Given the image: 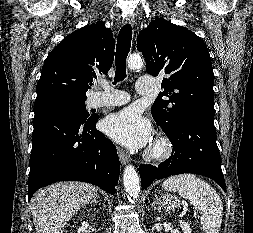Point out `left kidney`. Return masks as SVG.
<instances>
[{
  "label": "left kidney",
  "mask_w": 253,
  "mask_h": 233,
  "mask_svg": "<svg viewBox=\"0 0 253 233\" xmlns=\"http://www.w3.org/2000/svg\"><path fill=\"white\" fill-rule=\"evenodd\" d=\"M179 224H180V227H181L183 233H192L190 225L187 222L181 220V221H179Z\"/></svg>",
  "instance_id": "1"
}]
</instances>
